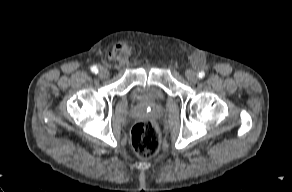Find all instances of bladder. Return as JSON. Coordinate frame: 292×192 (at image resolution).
Wrapping results in <instances>:
<instances>
[{
  "label": "bladder",
  "instance_id": "31cf9c89",
  "mask_svg": "<svg viewBox=\"0 0 292 192\" xmlns=\"http://www.w3.org/2000/svg\"><path fill=\"white\" fill-rule=\"evenodd\" d=\"M130 98L140 104L154 105L164 102L167 94L155 85H136L130 91Z\"/></svg>",
  "mask_w": 292,
  "mask_h": 192
}]
</instances>
